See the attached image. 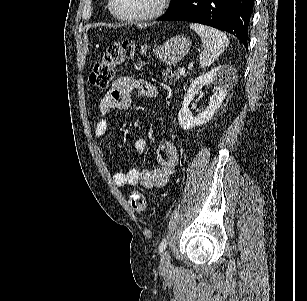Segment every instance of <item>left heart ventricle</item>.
Instances as JSON below:
<instances>
[{
  "instance_id": "left-heart-ventricle-1",
  "label": "left heart ventricle",
  "mask_w": 307,
  "mask_h": 301,
  "mask_svg": "<svg viewBox=\"0 0 307 301\" xmlns=\"http://www.w3.org/2000/svg\"><path fill=\"white\" fill-rule=\"evenodd\" d=\"M160 0H116L115 13L123 11H132L133 13H142V11H155Z\"/></svg>"
}]
</instances>
